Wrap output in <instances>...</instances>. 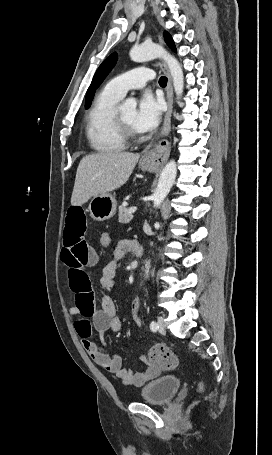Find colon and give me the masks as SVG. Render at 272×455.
I'll use <instances>...</instances> for the list:
<instances>
[{
    "instance_id": "colon-1",
    "label": "colon",
    "mask_w": 272,
    "mask_h": 455,
    "mask_svg": "<svg viewBox=\"0 0 272 455\" xmlns=\"http://www.w3.org/2000/svg\"><path fill=\"white\" fill-rule=\"evenodd\" d=\"M99 242L102 247H108L111 243L109 232L103 231L100 234ZM148 358L152 363L158 364L165 369H174L178 366L177 356L167 347L156 345L148 352ZM202 388V385H200Z\"/></svg>"
}]
</instances>
